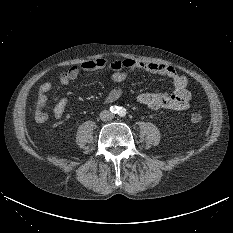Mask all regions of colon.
Here are the masks:
<instances>
[{"label":"colon","instance_id":"5ec220e1","mask_svg":"<svg viewBox=\"0 0 233 233\" xmlns=\"http://www.w3.org/2000/svg\"><path fill=\"white\" fill-rule=\"evenodd\" d=\"M34 117H35V119L37 121H40V120L44 119L45 118V111L44 110H40L39 112L34 113ZM190 120L193 123H200L203 120V117L198 112H192L190 114Z\"/></svg>","mask_w":233,"mask_h":233}]
</instances>
